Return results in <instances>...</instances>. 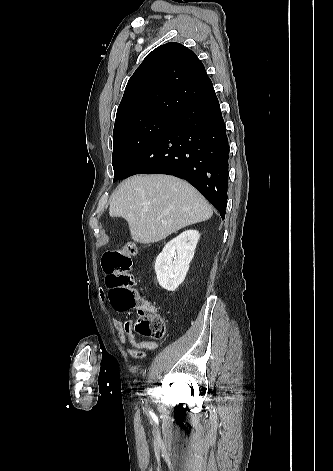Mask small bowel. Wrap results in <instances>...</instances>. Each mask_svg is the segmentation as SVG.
Here are the masks:
<instances>
[{"label": "small bowel", "mask_w": 333, "mask_h": 471, "mask_svg": "<svg viewBox=\"0 0 333 471\" xmlns=\"http://www.w3.org/2000/svg\"><path fill=\"white\" fill-rule=\"evenodd\" d=\"M100 296L104 299L105 294L103 291L100 292ZM113 326L118 332V341L120 343L128 342L130 347L126 349V352L134 358L145 357L147 352L153 351L157 348V343L154 341L138 340L134 334V325L132 320H121L114 318Z\"/></svg>", "instance_id": "c3829d8e"}]
</instances>
